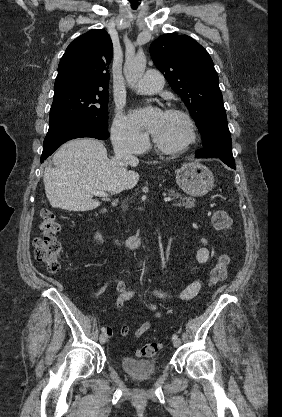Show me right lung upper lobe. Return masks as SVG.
Listing matches in <instances>:
<instances>
[{
    "instance_id": "cb5924a9",
    "label": "right lung upper lobe",
    "mask_w": 282,
    "mask_h": 417,
    "mask_svg": "<svg viewBox=\"0 0 282 417\" xmlns=\"http://www.w3.org/2000/svg\"><path fill=\"white\" fill-rule=\"evenodd\" d=\"M113 44L103 29H92L72 41L58 66L55 92L78 88L108 89Z\"/></svg>"
}]
</instances>
